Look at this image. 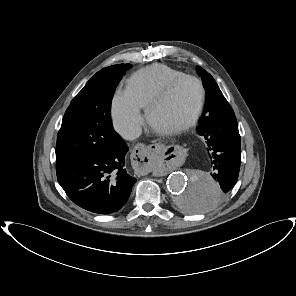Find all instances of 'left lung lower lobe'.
<instances>
[{
  "mask_svg": "<svg viewBox=\"0 0 296 296\" xmlns=\"http://www.w3.org/2000/svg\"><path fill=\"white\" fill-rule=\"evenodd\" d=\"M197 133L206 143V151L211 160L214 179L220 186L213 188L194 185L183 206L187 210L200 211L222 200L237 182L240 159L241 139L233 109L226 99L217 103L206 115L201 116Z\"/></svg>",
  "mask_w": 296,
  "mask_h": 296,
  "instance_id": "left-lung-lower-lobe-1",
  "label": "left lung lower lobe"
}]
</instances>
